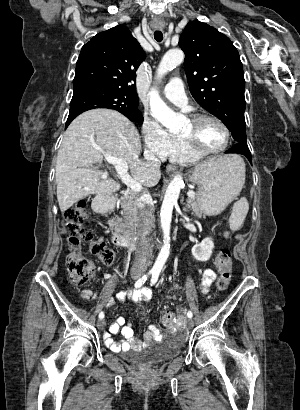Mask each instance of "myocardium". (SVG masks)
I'll use <instances>...</instances> for the list:
<instances>
[{"mask_svg": "<svg viewBox=\"0 0 300 410\" xmlns=\"http://www.w3.org/2000/svg\"><path fill=\"white\" fill-rule=\"evenodd\" d=\"M204 120L214 121L223 129V131L225 133V142L221 147H219L217 149L202 150L198 146L193 133H191L189 135H181L180 138L184 142L187 149L190 152H192L193 154H195L196 156L200 157V158L223 152L228 147V145L231 141V132H230L229 127L227 126V124L222 119H220L219 117H217L215 115L207 114V113L195 114L190 118L189 122L191 123L192 126H196L198 123H200Z\"/></svg>", "mask_w": 300, "mask_h": 410, "instance_id": "myocardium-1", "label": "myocardium"}]
</instances>
